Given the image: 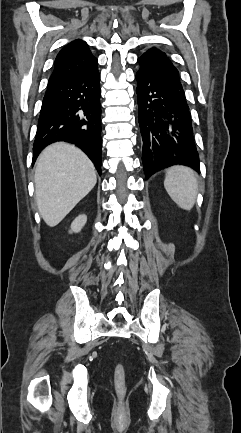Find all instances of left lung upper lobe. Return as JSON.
Wrapping results in <instances>:
<instances>
[{"label": "left lung upper lobe", "instance_id": "1", "mask_svg": "<svg viewBox=\"0 0 241 433\" xmlns=\"http://www.w3.org/2000/svg\"><path fill=\"white\" fill-rule=\"evenodd\" d=\"M137 62L140 64L139 70L162 73L169 77L173 82H175L176 87L185 97L180 82L179 72L173 63L166 57L165 53L153 47L139 57Z\"/></svg>", "mask_w": 241, "mask_h": 433}]
</instances>
